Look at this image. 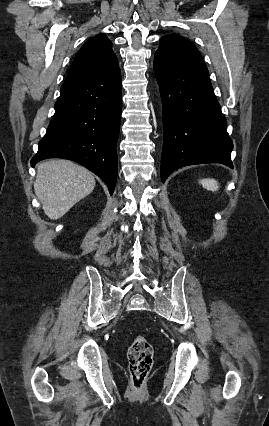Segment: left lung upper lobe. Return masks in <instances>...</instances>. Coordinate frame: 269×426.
<instances>
[{
	"label": "left lung upper lobe",
	"mask_w": 269,
	"mask_h": 426,
	"mask_svg": "<svg viewBox=\"0 0 269 426\" xmlns=\"http://www.w3.org/2000/svg\"><path fill=\"white\" fill-rule=\"evenodd\" d=\"M164 38L185 39L184 37H182L181 35H178V34H169V35L164 36Z\"/></svg>",
	"instance_id": "left-lung-upper-lobe-1"
}]
</instances>
